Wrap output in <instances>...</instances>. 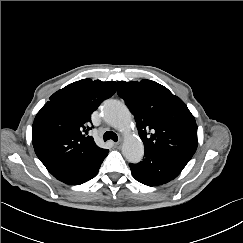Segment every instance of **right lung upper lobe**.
Returning <instances> with one entry per match:
<instances>
[{
    "label": "right lung upper lobe",
    "mask_w": 243,
    "mask_h": 243,
    "mask_svg": "<svg viewBox=\"0 0 243 243\" xmlns=\"http://www.w3.org/2000/svg\"><path fill=\"white\" fill-rule=\"evenodd\" d=\"M115 91L114 81L83 79L50 97L32 126L35 153L48 171L107 151L98 147L88 132L92 112Z\"/></svg>",
    "instance_id": "right-lung-upper-lobe-1"
}]
</instances>
